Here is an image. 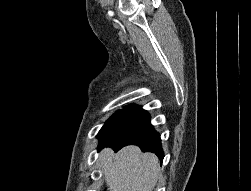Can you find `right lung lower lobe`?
Wrapping results in <instances>:
<instances>
[{
    "instance_id": "right-lung-lower-lobe-1",
    "label": "right lung lower lobe",
    "mask_w": 251,
    "mask_h": 191,
    "mask_svg": "<svg viewBox=\"0 0 251 191\" xmlns=\"http://www.w3.org/2000/svg\"><path fill=\"white\" fill-rule=\"evenodd\" d=\"M127 145H137L143 152H153L161 162L164 158L160 135L151 125L150 116L146 111L110 141L100 145L98 149L111 147L117 152Z\"/></svg>"
}]
</instances>
